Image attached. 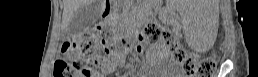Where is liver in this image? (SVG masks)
Masks as SVG:
<instances>
[{
    "label": "liver",
    "instance_id": "liver-1",
    "mask_svg": "<svg viewBox=\"0 0 258 77\" xmlns=\"http://www.w3.org/2000/svg\"><path fill=\"white\" fill-rule=\"evenodd\" d=\"M94 0H63L62 24L67 28L74 14L82 7L90 4Z\"/></svg>",
    "mask_w": 258,
    "mask_h": 77
}]
</instances>
